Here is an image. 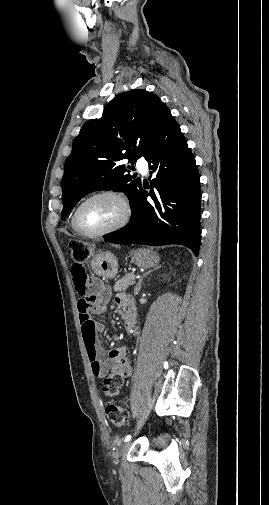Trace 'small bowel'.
I'll return each mask as SVG.
<instances>
[{"label": "small bowel", "mask_w": 269, "mask_h": 505, "mask_svg": "<svg viewBox=\"0 0 269 505\" xmlns=\"http://www.w3.org/2000/svg\"><path fill=\"white\" fill-rule=\"evenodd\" d=\"M82 267L80 260L73 262L71 276L74 282V293L77 295L79 320L81 323L82 336L86 348L88 358L91 363V369L94 376L98 378L104 377L108 371L118 375L122 380L132 375L133 366L129 360L127 349L118 347L111 350L107 357L103 348L98 342V334L103 331V326L94 321L92 315H103L105 307L102 304L108 300L109 289L95 285L96 296L90 289L89 274ZM116 302L120 306L126 303H131V300L124 294H120L116 298Z\"/></svg>", "instance_id": "1"}]
</instances>
